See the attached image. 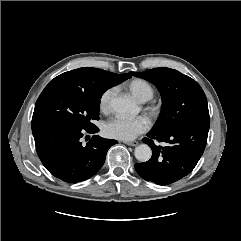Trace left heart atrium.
<instances>
[{
    "label": "left heart atrium",
    "instance_id": "1",
    "mask_svg": "<svg viewBox=\"0 0 241 241\" xmlns=\"http://www.w3.org/2000/svg\"><path fill=\"white\" fill-rule=\"evenodd\" d=\"M149 126L150 122L145 116H116L106 122L103 131L107 137L127 141L144 133Z\"/></svg>",
    "mask_w": 241,
    "mask_h": 241
}]
</instances>
